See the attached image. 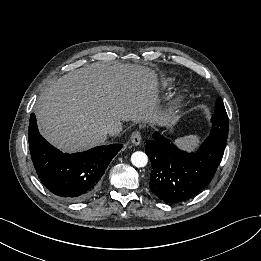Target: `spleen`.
<instances>
[{"label": "spleen", "instance_id": "obj_1", "mask_svg": "<svg viewBox=\"0 0 261 261\" xmlns=\"http://www.w3.org/2000/svg\"><path fill=\"white\" fill-rule=\"evenodd\" d=\"M199 141L200 138L197 135H189L176 139V142L179 145L188 150H194L195 147L199 144Z\"/></svg>", "mask_w": 261, "mask_h": 261}]
</instances>
